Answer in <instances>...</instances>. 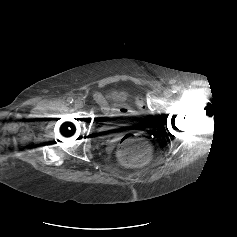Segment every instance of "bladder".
<instances>
[{
  "mask_svg": "<svg viewBox=\"0 0 237 237\" xmlns=\"http://www.w3.org/2000/svg\"><path fill=\"white\" fill-rule=\"evenodd\" d=\"M145 114L146 111H143L138 115H132L130 112V114L125 118L117 117L106 119L101 123V128L103 129V133L112 134L121 129L134 125L139 121L140 117L144 116Z\"/></svg>",
  "mask_w": 237,
  "mask_h": 237,
  "instance_id": "1",
  "label": "bladder"
}]
</instances>
